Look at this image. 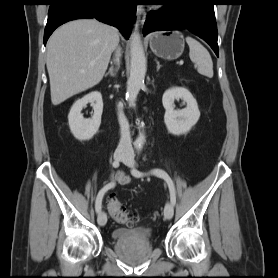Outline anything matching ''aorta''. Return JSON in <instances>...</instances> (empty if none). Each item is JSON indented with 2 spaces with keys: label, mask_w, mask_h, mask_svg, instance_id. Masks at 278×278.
Segmentation results:
<instances>
[{
  "label": "aorta",
  "mask_w": 278,
  "mask_h": 278,
  "mask_svg": "<svg viewBox=\"0 0 278 278\" xmlns=\"http://www.w3.org/2000/svg\"><path fill=\"white\" fill-rule=\"evenodd\" d=\"M146 74V57L141 43L140 35L138 33L137 25L134 26L131 34V65L130 77L127 82L126 98L131 107H135L137 95L144 85V78ZM145 143V134L140 132L136 141L135 147L142 149Z\"/></svg>",
  "instance_id": "aorta-1"
}]
</instances>
